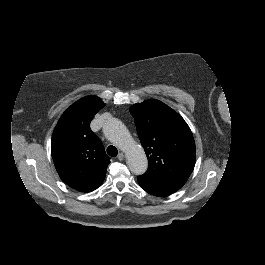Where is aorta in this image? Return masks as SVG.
Segmentation results:
<instances>
[{
  "label": "aorta",
  "instance_id": "aorta-1",
  "mask_svg": "<svg viewBox=\"0 0 265 265\" xmlns=\"http://www.w3.org/2000/svg\"><path fill=\"white\" fill-rule=\"evenodd\" d=\"M103 133L110 142L123 149L126 163L132 173L142 175L146 172L148 161L144 149L138 145L126 126L117 118H112L103 126Z\"/></svg>",
  "mask_w": 265,
  "mask_h": 265
}]
</instances>
